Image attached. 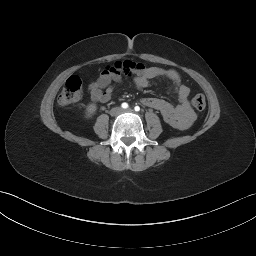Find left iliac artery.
Listing matches in <instances>:
<instances>
[{
  "label": "left iliac artery",
  "instance_id": "obj_1",
  "mask_svg": "<svg viewBox=\"0 0 256 256\" xmlns=\"http://www.w3.org/2000/svg\"><path fill=\"white\" fill-rule=\"evenodd\" d=\"M134 110L138 112V111H140V107L139 106H135Z\"/></svg>",
  "mask_w": 256,
  "mask_h": 256
}]
</instances>
